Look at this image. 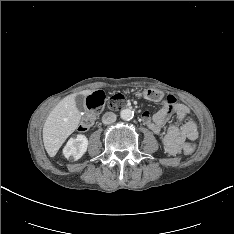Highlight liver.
<instances>
[{
	"label": "liver",
	"instance_id": "liver-1",
	"mask_svg": "<svg viewBox=\"0 0 234 234\" xmlns=\"http://www.w3.org/2000/svg\"><path fill=\"white\" fill-rule=\"evenodd\" d=\"M93 90L79 92L83 96H88ZM76 93L63 98L49 113L43 126V143L49 156L53 157L65 140L77 128L81 115L76 106Z\"/></svg>",
	"mask_w": 234,
	"mask_h": 234
}]
</instances>
